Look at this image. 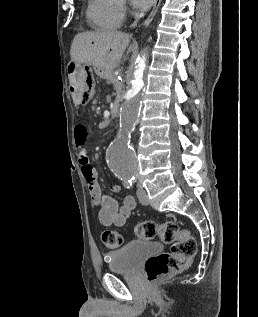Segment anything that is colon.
<instances>
[{
    "mask_svg": "<svg viewBox=\"0 0 258 317\" xmlns=\"http://www.w3.org/2000/svg\"><path fill=\"white\" fill-rule=\"evenodd\" d=\"M95 92V79L90 71L84 70L80 88V98L83 103L91 99ZM135 234L140 239L160 240L170 245V251L163 252L150 258L145 264V276L149 283H155L166 276L182 270L196 255L197 243L195 238L176 221L169 220L160 224L144 221L135 227ZM102 241L108 248H118L123 243L122 235L117 231H105Z\"/></svg>",
    "mask_w": 258,
    "mask_h": 317,
    "instance_id": "5ec220e1",
    "label": "colon"
}]
</instances>
